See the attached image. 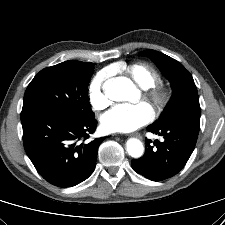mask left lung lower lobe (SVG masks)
Instances as JSON below:
<instances>
[{
	"label": "left lung lower lobe",
	"instance_id": "0a47b994",
	"mask_svg": "<svg viewBox=\"0 0 225 225\" xmlns=\"http://www.w3.org/2000/svg\"><path fill=\"white\" fill-rule=\"evenodd\" d=\"M200 127L190 125L148 126L147 131L163 136L164 141L146 139L143 157L131 161L132 168L144 177L161 181L176 175L191 156Z\"/></svg>",
	"mask_w": 225,
	"mask_h": 225
}]
</instances>
